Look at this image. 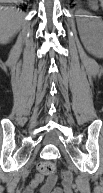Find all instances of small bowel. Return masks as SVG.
<instances>
[{
  "label": "small bowel",
  "mask_w": 103,
  "mask_h": 193,
  "mask_svg": "<svg viewBox=\"0 0 103 193\" xmlns=\"http://www.w3.org/2000/svg\"><path fill=\"white\" fill-rule=\"evenodd\" d=\"M43 178L36 176L32 179L28 186L24 188L22 193H74V182L70 176L61 179V186L53 187L54 180H51L46 185H43Z\"/></svg>",
  "instance_id": "small-bowel-1"
}]
</instances>
